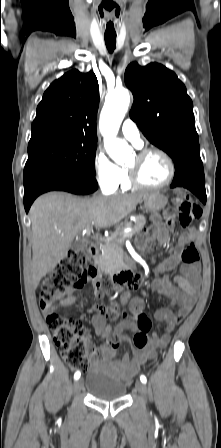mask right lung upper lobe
<instances>
[{
    "mask_svg": "<svg viewBox=\"0 0 221 448\" xmlns=\"http://www.w3.org/2000/svg\"><path fill=\"white\" fill-rule=\"evenodd\" d=\"M98 106L95 74L67 72L45 91L32 123L28 148L61 140L97 139Z\"/></svg>",
    "mask_w": 221,
    "mask_h": 448,
    "instance_id": "1",
    "label": "right lung upper lobe"
}]
</instances>
